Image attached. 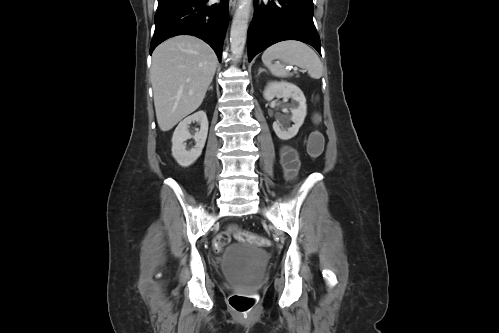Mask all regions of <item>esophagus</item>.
I'll use <instances>...</instances> for the list:
<instances>
[{
  "label": "esophagus",
  "mask_w": 499,
  "mask_h": 333,
  "mask_svg": "<svg viewBox=\"0 0 499 333\" xmlns=\"http://www.w3.org/2000/svg\"><path fill=\"white\" fill-rule=\"evenodd\" d=\"M237 0H229V12L233 14L236 7Z\"/></svg>",
  "instance_id": "34e87169"
}]
</instances>
